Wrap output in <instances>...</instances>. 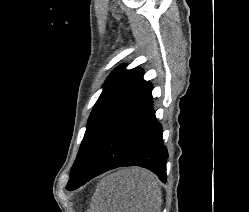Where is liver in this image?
Returning a JSON list of instances; mask_svg holds the SVG:
<instances>
[{"mask_svg":"<svg viewBox=\"0 0 249 212\" xmlns=\"http://www.w3.org/2000/svg\"><path fill=\"white\" fill-rule=\"evenodd\" d=\"M157 178L144 168H123L97 184L90 212H160Z\"/></svg>","mask_w":249,"mask_h":212,"instance_id":"1","label":"liver"}]
</instances>
